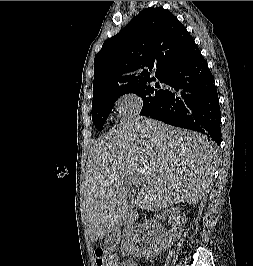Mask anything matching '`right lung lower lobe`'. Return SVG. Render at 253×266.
Masks as SVG:
<instances>
[{"label":"right lung lower lobe","mask_w":253,"mask_h":266,"mask_svg":"<svg viewBox=\"0 0 253 266\" xmlns=\"http://www.w3.org/2000/svg\"><path fill=\"white\" fill-rule=\"evenodd\" d=\"M157 106L149 114L164 123L191 129L221 143V112L214 77L198 49L186 61L167 73Z\"/></svg>","instance_id":"1"}]
</instances>
